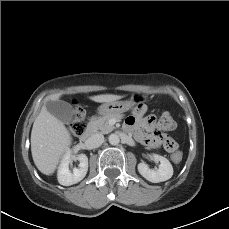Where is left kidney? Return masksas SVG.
<instances>
[{"label": "left kidney", "instance_id": "obj_1", "mask_svg": "<svg viewBox=\"0 0 229 229\" xmlns=\"http://www.w3.org/2000/svg\"><path fill=\"white\" fill-rule=\"evenodd\" d=\"M155 161H159L158 169H150L147 164L141 162L138 164L139 173L148 181L152 183H159L170 179L173 175V167L168 159L163 156L154 154Z\"/></svg>", "mask_w": 229, "mask_h": 229}]
</instances>
